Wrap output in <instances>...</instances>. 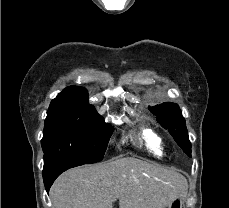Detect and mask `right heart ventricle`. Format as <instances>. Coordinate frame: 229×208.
I'll return each mask as SVG.
<instances>
[{
    "label": "right heart ventricle",
    "instance_id": "1",
    "mask_svg": "<svg viewBox=\"0 0 229 208\" xmlns=\"http://www.w3.org/2000/svg\"><path fill=\"white\" fill-rule=\"evenodd\" d=\"M127 141L156 160H163L167 156L168 147L165 139L152 128L140 127L127 137Z\"/></svg>",
    "mask_w": 229,
    "mask_h": 208
}]
</instances>
